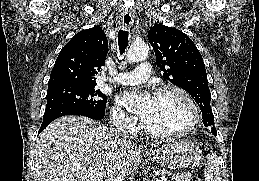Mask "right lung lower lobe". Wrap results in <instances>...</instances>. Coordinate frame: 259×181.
I'll use <instances>...</instances> for the list:
<instances>
[{
    "label": "right lung lower lobe",
    "mask_w": 259,
    "mask_h": 181,
    "mask_svg": "<svg viewBox=\"0 0 259 181\" xmlns=\"http://www.w3.org/2000/svg\"><path fill=\"white\" fill-rule=\"evenodd\" d=\"M104 112H96V111L83 109V108L62 109V110L54 113L53 115L43 118V122L38 131V134L41 133L53 120H55L59 117L66 116V115H81V116L89 117L91 119L101 120L105 116Z\"/></svg>",
    "instance_id": "right-lung-lower-lobe-1"
}]
</instances>
